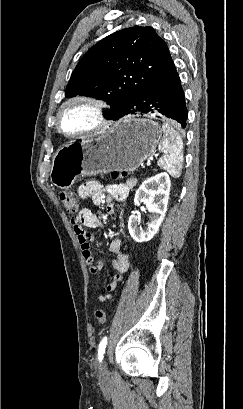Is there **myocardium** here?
<instances>
[{
	"label": "myocardium",
	"instance_id": "f54148a6",
	"mask_svg": "<svg viewBox=\"0 0 243 409\" xmlns=\"http://www.w3.org/2000/svg\"><path fill=\"white\" fill-rule=\"evenodd\" d=\"M76 103H83L88 105L94 114L96 123L93 127L90 129L77 132V133H67L63 130L62 125H61V118L62 115L67 107H69L72 104ZM110 125V122L106 116V105L103 101L100 99L90 96V95H75L70 98H68L66 101H64L58 112H57V117H56V127L57 130L60 134H62L64 137L69 138V139H75V138H80L84 136H89L92 134L100 133L106 130Z\"/></svg>",
	"mask_w": 243,
	"mask_h": 409
}]
</instances>
